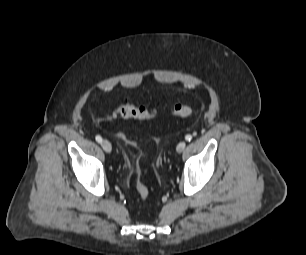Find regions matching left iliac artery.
I'll return each instance as SVG.
<instances>
[{
  "mask_svg": "<svg viewBox=\"0 0 306 255\" xmlns=\"http://www.w3.org/2000/svg\"><path fill=\"white\" fill-rule=\"evenodd\" d=\"M185 140L186 141H191L192 140V136L190 134L185 136Z\"/></svg>",
  "mask_w": 306,
  "mask_h": 255,
  "instance_id": "obj_1",
  "label": "left iliac artery"
}]
</instances>
